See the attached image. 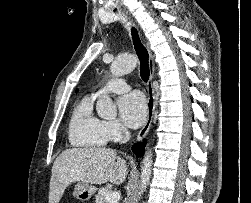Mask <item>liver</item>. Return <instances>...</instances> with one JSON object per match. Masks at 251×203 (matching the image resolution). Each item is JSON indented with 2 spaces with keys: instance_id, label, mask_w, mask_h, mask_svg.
Returning a JSON list of instances; mask_svg holds the SVG:
<instances>
[{
  "instance_id": "6515ba94",
  "label": "liver",
  "mask_w": 251,
  "mask_h": 203,
  "mask_svg": "<svg viewBox=\"0 0 251 203\" xmlns=\"http://www.w3.org/2000/svg\"><path fill=\"white\" fill-rule=\"evenodd\" d=\"M127 176L124 159L110 148H72L54 161L50 180L49 203H59L65 189L74 182L120 185Z\"/></svg>"
}]
</instances>
